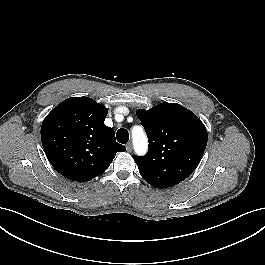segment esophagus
I'll return each instance as SVG.
<instances>
[{
    "label": "esophagus",
    "mask_w": 265,
    "mask_h": 265,
    "mask_svg": "<svg viewBox=\"0 0 265 265\" xmlns=\"http://www.w3.org/2000/svg\"><path fill=\"white\" fill-rule=\"evenodd\" d=\"M126 150H127V152H131L132 151V143L131 142L126 144Z\"/></svg>",
    "instance_id": "obj_1"
}]
</instances>
